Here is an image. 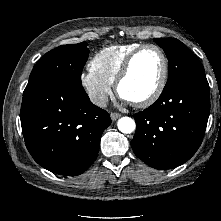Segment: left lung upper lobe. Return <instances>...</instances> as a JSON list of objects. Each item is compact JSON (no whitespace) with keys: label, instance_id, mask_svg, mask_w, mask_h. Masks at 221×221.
<instances>
[{"label":"left lung upper lobe","instance_id":"obj_1","mask_svg":"<svg viewBox=\"0 0 221 221\" xmlns=\"http://www.w3.org/2000/svg\"><path fill=\"white\" fill-rule=\"evenodd\" d=\"M154 41L163 48L169 60L168 81L164 89L188 75L205 72L195 55L178 39L155 38Z\"/></svg>","mask_w":221,"mask_h":221}]
</instances>
